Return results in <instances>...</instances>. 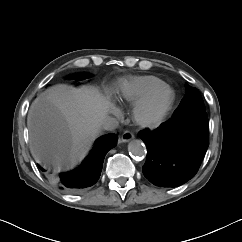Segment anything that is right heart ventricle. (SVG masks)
Segmentation results:
<instances>
[{"mask_svg":"<svg viewBox=\"0 0 242 242\" xmlns=\"http://www.w3.org/2000/svg\"><path fill=\"white\" fill-rule=\"evenodd\" d=\"M166 86L159 77L153 75L135 76L120 82L116 88L117 98L128 104H135L151 92Z\"/></svg>","mask_w":242,"mask_h":242,"instance_id":"e07e8e85","label":"right heart ventricle"}]
</instances>
